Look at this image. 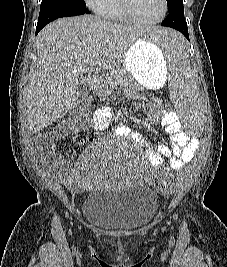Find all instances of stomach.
I'll use <instances>...</instances> for the list:
<instances>
[{"mask_svg":"<svg viewBox=\"0 0 227 267\" xmlns=\"http://www.w3.org/2000/svg\"><path fill=\"white\" fill-rule=\"evenodd\" d=\"M123 67L142 86L159 89L166 81L168 63L165 55H159L157 43H148L143 37L128 49Z\"/></svg>","mask_w":227,"mask_h":267,"instance_id":"obj_1","label":"stomach"}]
</instances>
